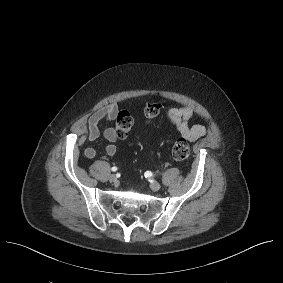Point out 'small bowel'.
<instances>
[{
	"mask_svg": "<svg viewBox=\"0 0 283 283\" xmlns=\"http://www.w3.org/2000/svg\"><path fill=\"white\" fill-rule=\"evenodd\" d=\"M118 114V108L114 104H109L98 109L87 122V139L89 141H95L100 137L101 125L105 122L114 120ZM167 116L173 123L175 130L181 135V137L187 141H196L199 138L205 136L208 129L204 125H190V120L193 116V109L190 106H178L168 109ZM84 127L79 126L78 131L83 133ZM104 138L108 141L105 146V152L109 156H113L117 152L115 145L118 136L114 128L109 127L103 131ZM84 141V140H82ZM97 151L93 147L85 149V156L89 159L95 158Z\"/></svg>",
	"mask_w": 283,
	"mask_h": 283,
	"instance_id": "1",
	"label": "small bowel"
}]
</instances>
